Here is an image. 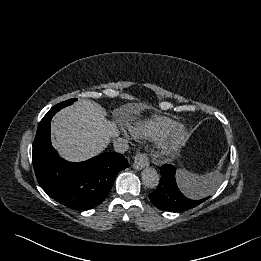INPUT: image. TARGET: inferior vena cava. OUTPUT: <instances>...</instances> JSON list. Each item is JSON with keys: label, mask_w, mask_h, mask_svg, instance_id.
Wrapping results in <instances>:
<instances>
[{"label": "inferior vena cava", "mask_w": 261, "mask_h": 261, "mask_svg": "<svg viewBox=\"0 0 261 261\" xmlns=\"http://www.w3.org/2000/svg\"><path fill=\"white\" fill-rule=\"evenodd\" d=\"M114 150L118 153H124L128 150V141L125 138H117L113 142Z\"/></svg>", "instance_id": "obj_1"}]
</instances>
